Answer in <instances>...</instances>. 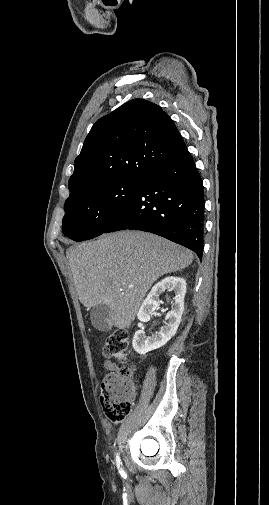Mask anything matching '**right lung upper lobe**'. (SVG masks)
<instances>
[{"label":"right lung upper lobe","mask_w":269,"mask_h":505,"mask_svg":"<svg viewBox=\"0 0 269 505\" xmlns=\"http://www.w3.org/2000/svg\"><path fill=\"white\" fill-rule=\"evenodd\" d=\"M185 150L182 136L160 106L133 99L91 128L74 162L69 198L104 183L141 181Z\"/></svg>","instance_id":"right-lung-upper-lobe-1"}]
</instances>
